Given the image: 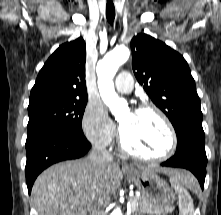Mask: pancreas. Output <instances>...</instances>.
Masks as SVG:
<instances>
[{"label":"pancreas","instance_id":"obj_1","mask_svg":"<svg viewBox=\"0 0 221 215\" xmlns=\"http://www.w3.org/2000/svg\"><path fill=\"white\" fill-rule=\"evenodd\" d=\"M131 208L134 215H140L141 213L161 215L165 214L164 209H160L153 205L148 199L142 196H133L130 199Z\"/></svg>","mask_w":221,"mask_h":215}]
</instances>
